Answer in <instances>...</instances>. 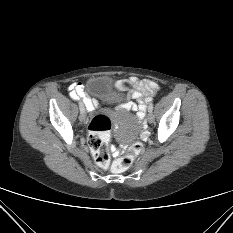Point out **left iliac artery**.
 <instances>
[{"mask_svg": "<svg viewBox=\"0 0 233 233\" xmlns=\"http://www.w3.org/2000/svg\"><path fill=\"white\" fill-rule=\"evenodd\" d=\"M152 110H153V104L150 103L149 106H148V111H149V112H152Z\"/></svg>", "mask_w": 233, "mask_h": 233, "instance_id": "44dca946", "label": "left iliac artery"}]
</instances>
